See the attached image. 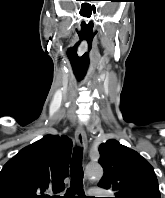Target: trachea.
Returning a JSON list of instances; mask_svg holds the SVG:
<instances>
[{
	"label": "trachea",
	"mask_w": 165,
	"mask_h": 198,
	"mask_svg": "<svg viewBox=\"0 0 165 198\" xmlns=\"http://www.w3.org/2000/svg\"><path fill=\"white\" fill-rule=\"evenodd\" d=\"M71 182L65 198H86L83 190L82 151L76 149L70 164ZM78 194L79 197H75Z\"/></svg>",
	"instance_id": "3493384b"
}]
</instances>
